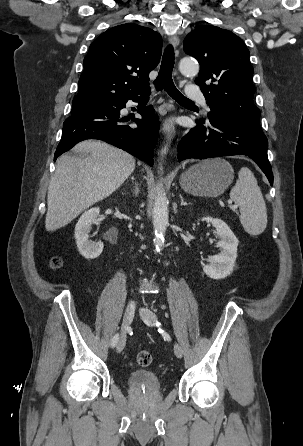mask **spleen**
Instances as JSON below:
<instances>
[{
    "instance_id": "1",
    "label": "spleen",
    "mask_w": 303,
    "mask_h": 446,
    "mask_svg": "<svg viewBox=\"0 0 303 446\" xmlns=\"http://www.w3.org/2000/svg\"><path fill=\"white\" fill-rule=\"evenodd\" d=\"M230 198L240 208L239 219L244 230L252 236L260 235L267 226V210L261 189L249 168L240 169Z\"/></svg>"
}]
</instances>
